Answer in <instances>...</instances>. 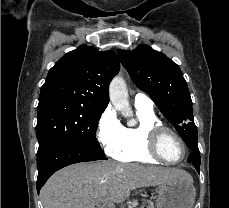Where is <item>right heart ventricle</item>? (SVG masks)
Returning a JSON list of instances; mask_svg holds the SVG:
<instances>
[{
  "instance_id": "1",
  "label": "right heart ventricle",
  "mask_w": 229,
  "mask_h": 208,
  "mask_svg": "<svg viewBox=\"0 0 229 208\" xmlns=\"http://www.w3.org/2000/svg\"><path fill=\"white\" fill-rule=\"evenodd\" d=\"M138 123L129 127H122V144L112 154L114 158L124 162H140L161 164L159 158H152L148 153L150 143L148 130L155 125H160L161 121L154 113L153 109L136 107Z\"/></svg>"
}]
</instances>
